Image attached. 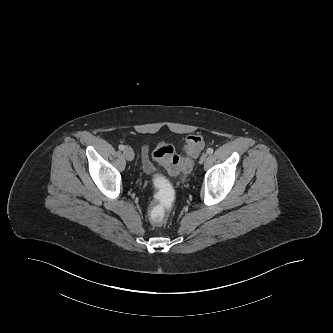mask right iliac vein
<instances>
[{
    "mask_svg": "<svg viewBox=\"0 0 333 333\" xmlns=\"http://www.w3.org/2000/svg\"><path fill=\"white\" fill-rule=\"evenodd\" d=\"M123 154L128 161H132L134 159V151L130 147L125 148Z\"/></svg>",
    "mask_w": 333,
    "mask_h": 333,
    "instance_id": "63e3f726",
    "label": "right iliac vein"
}]
</instances>
